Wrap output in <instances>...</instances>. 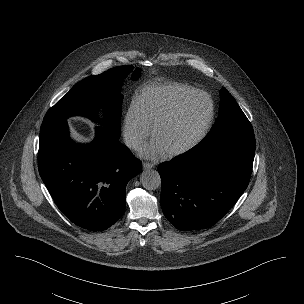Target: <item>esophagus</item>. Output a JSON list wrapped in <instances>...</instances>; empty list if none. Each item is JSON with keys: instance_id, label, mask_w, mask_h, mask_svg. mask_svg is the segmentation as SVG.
I'll return each instance as SVG.
<instances>
[{"instance_id": "1", "label": "esophagus", "mask_w": 304, "mask_h": 304, "mask_svg": "<svg viewBox=\"0 0 304 304\" xmlns=\"http://www.w3.org/2000/svg\"><path fill=\"white\" fill-rule=\"evenodd\" d=\"M142 166H143V169H151V168H153L154 167V164L153 163H149V162H143V164H142Z\"/></svg>"}]
</instances>
